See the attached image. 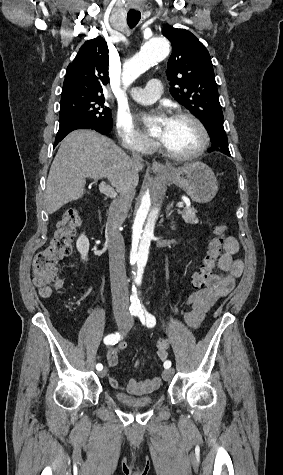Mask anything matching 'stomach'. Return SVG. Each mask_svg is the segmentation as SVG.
Wrapping results in <instances>:
<instances>
[{
    "instance_id": "0dacf381",
    "label": "stomach",
    "mask_w": 283,
    "mask_h": 475,
    "mask_svg": "<svg viewBox=\"0 0 283 475\" xmlns=\"http://www.w3.org/2000/svg\"><path fill=\"white\" fill-rule=\"evenodd\" d=\"M168 172H158L151 168L155 174L162 176L166 182L182 188L193 202L207 204L211 202L218 192V182L214 172L203 162H187L181 168L165 166Z\"/></svg>"
}]
</instances>
